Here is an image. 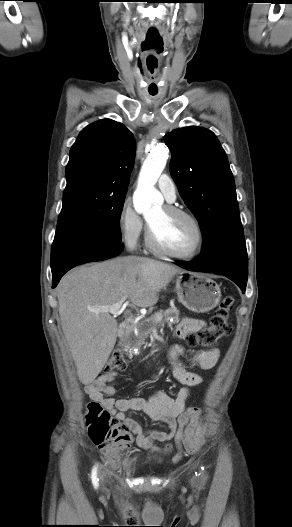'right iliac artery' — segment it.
<instances>
[{
	"mask_svg": "<svg viewBox=\"0 0 292 527\" xmlns=\"http://www.w3.org/2000/svg\"><path fill=\"white\" fill-rule=\"evenodd\" d=\"M91 478H92L93 485L97 488L99 479L97 478V467L96 466L92 470Z\"/></svg>",
	"mask_w": 292,
	"mask_h": 527,
	"instance_id": "82829eb1",
	"label": "right iliac artery"
}]
</instances>
